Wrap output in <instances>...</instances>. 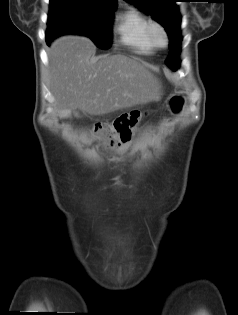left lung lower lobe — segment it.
Instances as JSON below:
<instances>
[{"instance_id": "obj_1", "label": "left lung lower lobe", "mask_w": 238, "mask_h": 315, "mask_svg": "<svg viewBox=\"0 0 238 315\" xmlns=\"http://www.w3.org/2000/svg\"><path fill=\"white\" fill-rule=\"evenodd\" d=\"M181 41H182V38L180 35H176L170 38V52L169 53L175 59H178L179 57ZM178 64L180 65V61L178 62Z\"/></svg>"}]
</instances>
